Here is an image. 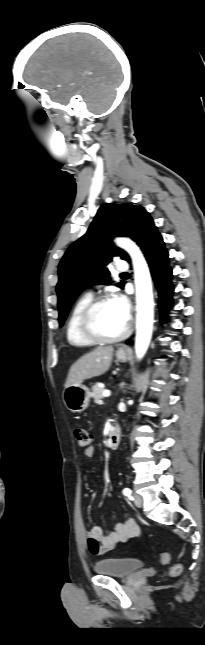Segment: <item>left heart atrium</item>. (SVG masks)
Listing matches in <instances>:
<instances>
[{
  "label": "left heart atrium",
  "mask_w": 205,
  "mask_h": 645,
  "mask_svg": "<svg viewBox=\"0 0 205 645\" xmlns=\"http://www.w3.org/2000/svg\"><path fill=\"white\" fill-rule=\"evenodd\" d=\"M112 303L119 311L123 319L128 322L130 317V304L125 296L122 294H115L112 299Z\"/></svg>",
  "instance_id": "obj_1"
}]
</instances>
